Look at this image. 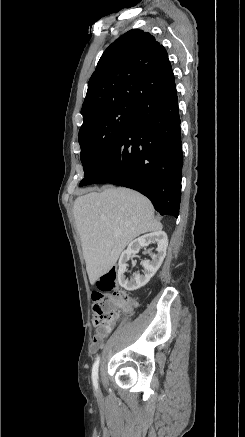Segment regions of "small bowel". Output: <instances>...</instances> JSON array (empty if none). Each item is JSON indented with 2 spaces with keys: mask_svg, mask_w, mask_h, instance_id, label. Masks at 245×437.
Instances as JSON below:
<instances>
[{
  "mask_svg": "<svg viewBox=\"0 0 245 437\" xmlns=\"http://www.w3.org/2000/svg\"><path fill=\"white\" fill-rule=\"evenodd\" d=\"M106 336L107 335L99 337V336L95 335V337L93 339V346L99 347L103 343V340L106 338Z\"/></svg>",
  "mask_w": 245,
  "mask_h": 437,
  "instance_id": "small-bowel-1",
  "label": "small bowel"
}]
</instances>
